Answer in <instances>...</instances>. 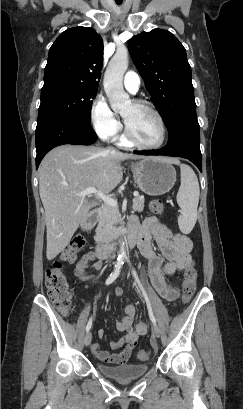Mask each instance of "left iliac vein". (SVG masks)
Instances as JSON below:
<instances>
[{"label": "left iliac vein", "mask_w": 243, "mask_h": 409, "mask_svg": "<svg viewBox=\"0 0 243 409\" xmlns=\"http://www.w3.org/2000/svg\"><path fill=\"white\" fill-rule=\"evenodd\" d=\"M153 334L158 338L160 337V329L158 328L157 325H154L153 327Z\"/></svg>", "instance_id": "4c4485c4"}]
</instances>
